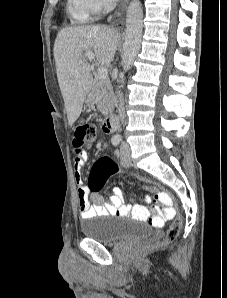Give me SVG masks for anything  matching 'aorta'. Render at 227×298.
Here are the masks:
<instances>
[{"instance_id": "762f6f07", "label": "aorta", "mask_w": 227, "mask_h": 298, "mask_svg": "<svg viewBox=\"0 0 227 298\" xmlns=\"http://www.w3.org/2000/svg\"><path fill=\"white\" fill-rule=\"evenodd\" d=\"M143 30V8L139 0H132L126 15V37L123 45L122 67L124 72L131 69L141 47Z\"/></svg>"}]
</instances>
